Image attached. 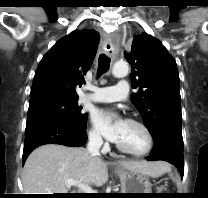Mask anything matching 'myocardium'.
<instances>
[{"label":"myocardium","mask_w":208,"mask_h":198,"mask_svg":"<svg viewBox=\"0 0 208 198\" xmlns=\"http://www.w3.org/2000/svg\"><path fill=\"white\" fill-rule=\"evenodd\" d=\"M126 122L139 127L143 131V133L145 134L146 139H147V145H146L145 149H143L141 151H133V150L128 149V148H126L116 142L117 149L125 154L131 155L134 157H143V156L148 155L152 151V149L154 147V143H155L152 131L145 123H143L139 120L130 118V119H127Z\"/></svg>","instance_id":"myocardium-1"}]
</instances>
